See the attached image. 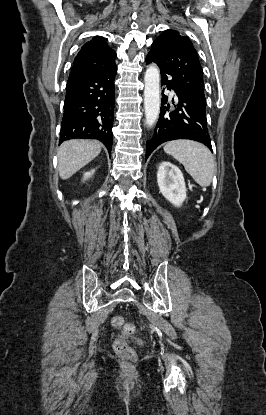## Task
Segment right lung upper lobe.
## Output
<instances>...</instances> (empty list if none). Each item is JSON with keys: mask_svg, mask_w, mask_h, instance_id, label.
Returning <instances> with one entry per match:
<instances>
[{"mask_svg": "<svg viewBox=\"0 0 266 415\" xmlns=\"http://www.w3.org/2000/svg\"><path fill=\"white\" fill-rule=\"evenodd\" d=\"M116 53L104 41L94 36L85 43L74 59L68 80H75L109 70L115 65Z\"/></svg>", "mask_w": 266, "mask_h": 415, "instance_id": "obj_1", "label": "right lung upper lobe"}]
</instances>
